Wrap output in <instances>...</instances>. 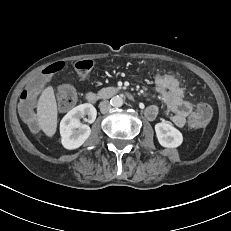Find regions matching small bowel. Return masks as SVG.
I'll return each instance as SVG.
<instances>
[{
    "instance_id": "c3829d8e",
    "label": "small bowel",
    "mask_w": 231,
    "mask_h": 231,
    "mask_svg": "<svg viewBox=\"0 0 231 231\" xmlns=\"http://www.w3.org/2000/svg\"><path fill=\"white\" fill-rule=\"evenodd\" d=\"M154 85L166 105V117L173 125L183 127L192 111L190 102L184 99V93L176 89L172 84L161 82L157 76L154 80ZM159 112L157 105H150L145 109V116L148 120L153 121L157 118Z\"/></svg>"
}]
</instances>
